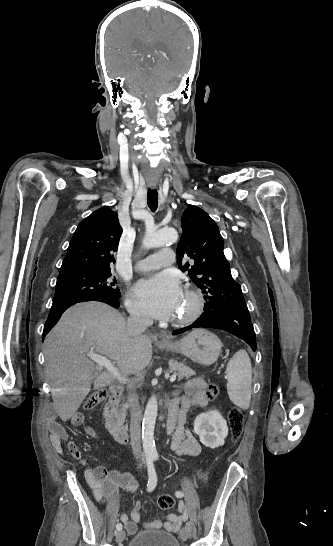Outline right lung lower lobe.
Wrapping results in <instances>:
<instances>
[{
    "instance_id": "98d812e1",
    "label": "right lung lower lobe",
    "mask_w": 333,
    "mask_h": 546,
    "mask_svg": "<svg viewBox=\"0 0 333 546\" xmlns=\"http://www.w3.org/2000/svg\"><path fill=\"white\" fill-rule=\"evenodd\" d=\"M85 301H100L109 304L110 306L114 308H119V298L116 297H110V296H94V297H85L81 299H73L69 301H60V302H53L52 307L50 309L47 321L44 326L43 331V338L46 334L49 333V331L55 326V324L58 322L59 318L61 317L62 313L69 308L70 306L79 303V302H85Z\"/></svg>"
}]
</instances>
